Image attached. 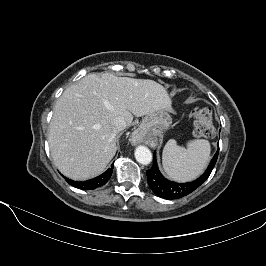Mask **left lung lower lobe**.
Returning <instances> with one entry per match:
<instances>
[{
  "instance_id": "obj_1",
  "label": "left lung lower lobe",
  "mask_w": 266,
  "mask_h": 266,
  "mask_svg": "<svg viewBox=\"0 0 266 266\" xmlns=\"http://www.w3.org/2000/svg\"><path fill=\"white\" fill-rule=\"evenodd\" d=\"M219 146V143H218ZM219 153V147L212 158L208 168L206 169L205 173L201 175L198 179L192 182L187 183H176L173 181L167 180L159 171L157 161H156V153L154 152L153 155V166L151 169L146 171L147 174V181L151 190L161 198L164 199H178L183 196H186L197 189L203 182L211 174Z\"/></svg>"
}]
</instances>
